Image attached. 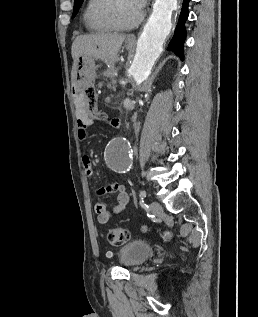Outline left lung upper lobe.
Instances as JSON below:
<instances>
[{"label": "left lung upper lobe", "instance_id": "left-lung-upper-lobe-1", "mask_svg": "<svg viewBox=\"0 0 258 317\" xmlns=\"http://www.w3.org/2000/svg\"><path fill=\"white\" fill-rule=\"evenodd\" d=\"M83 0H75V3H74V10H73V17L77 14L81 4H82Z\"/></svg>", "mask_w": 258, "mask_h": 317}]
</instances>
